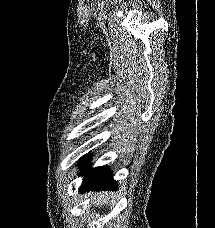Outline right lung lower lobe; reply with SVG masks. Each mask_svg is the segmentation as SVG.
<instances>
[{
	"instance_id": "right-lung-lower-lobe-1",
	"label": "right lung lower lobe",
	"mask_w": 215,
	"mask_h": 228,
	"mask_svg": "<svg viewBox=\"0 0 215 228\" xmlns=\"http://www.w3.org/2000/svg\"><path fill=\"white\" fill-rule=\"evenodd\" d=\"M83 175L84 180L80 187L81 192L116 189L118 187V183L113 179L112 171L106 166L93 169L83 168Z\"/></svg>"
}]
</instances>
